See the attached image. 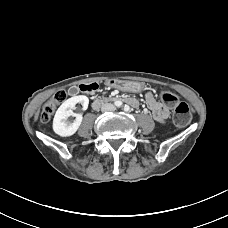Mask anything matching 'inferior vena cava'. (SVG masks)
I'll list each match as a JSON object with an SVG mask.
<instances>
[{"mask_svg": "<svg viewBox=\"0 0 228 228\" xmlns=\"http://www.w3.org/2000/svg\"><path fill=\"white\" fill-rule=\"evenodd\" d=\"M109 105V109L110 110H115V106L114 105H112V104H108Z\"/></svg>", "mask_w": 228, "mask_h": 228, "instance_id": "inferior-vena-cava-1", "label": "inferior vena cava"}]
</instances>
